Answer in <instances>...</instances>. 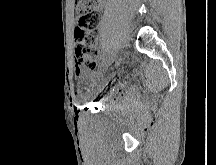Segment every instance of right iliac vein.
Wrapping results in <instances>:
<instances>
[{"mask_svg":"<svg viewBox=\"0 0 216 165\" xmlns=\"http://www.w3.org/2000/svg\"><path fill=\"white\" fill-rule=\"evenodd\" d=\"M114 56H115V54H113V56L110 57V59H109L111 61L109 64H107L109 67L116 62V57H114Z\"/></svg>","mask_w":216,"mask_h":165,"instance_id":"1","label":"right iliac vein"}]
</instances>
